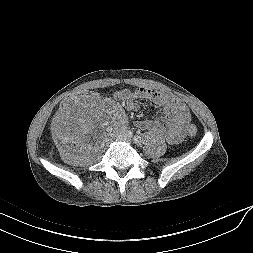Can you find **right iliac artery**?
Returning <instances> with one entry per match:
<instances>
[{
  "mask_svg": "<svg viewBox=\"0 0 253 253\" xmlns=\"http://www.w3.org/2000/svg\"><path fill=\"white\" fill-rule=\"evenodd\" d=\"M125 135H126L127 137H132V132H131V131H126Z\"/></svg>",
  "mask_w": 253,
  "mask_h": 253,
  "instance_id": "obj_1",
  "label": "right iliac artery"
}]
</instances>
